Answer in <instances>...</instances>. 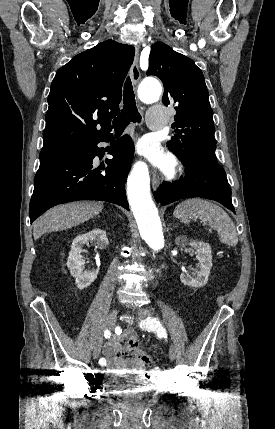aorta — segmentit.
I'll return each instance as SVG.
<instances>
[{
  "mask_svg": "<svg viewBox=\"0 0 275 429\" xmlns=\"http://www.w3.org/2000/svg\"><path fill=\"white\" fill-rule=\"evenodd\" d=\"M161 92L160 83L154 79L144 81L138 90L141 101L147 104L156 102ZM127 196L142 239L154 251L161 250L164 236L158 210L151 198L146 167L135 165L132 169L127 181Z\"/></svg>",
  "mask_w": 275,
  "mask_h": 429,
  "instance_id": "obj_1",
  "label": "aorta"
}]
</instances>
